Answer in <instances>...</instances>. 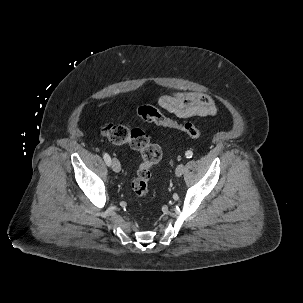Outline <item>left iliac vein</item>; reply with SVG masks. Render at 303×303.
<instances>
[{
	"mask_svg": "<svg viewBox=\"0 0 303 303\" xmlns=\"http://www.w3.org/2000/svg\"><path fill=\"white\" fill-rule=\"evenodd\" d=\"M184 171H185V166L183 164H179L176 167L175 174H176L177 177H180V176H182Z\"/></svg>",
	"mask_w": 303,
	"mask_h": 303,
	"instance_id": "1",
	"label": "left iliac vein"
}]
</instances>
